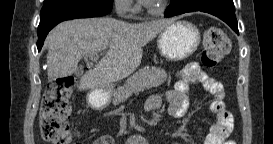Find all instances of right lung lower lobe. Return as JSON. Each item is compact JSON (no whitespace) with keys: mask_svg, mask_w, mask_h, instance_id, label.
Masks as SVG:
<instances>
[{"mask_svg":"<svg viewBox=\"0 0 273 144\" xmlns=\"http://www.w3.org/2000/svg\"><path fill=\"white\" fill-rule=\"evenodd\" d=\"M113 0H50L44 3L38 26V51L41 50L48 32L58 23L86 17H98L112 10Z\"/></svg>","mask_w":273,"mask_h":144,"instance_id":"1","label":"right lung lower lobe"}]
</instances>
